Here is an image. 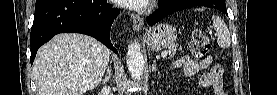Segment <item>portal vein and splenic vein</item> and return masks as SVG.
Listing matches in <instances>:
<instances>
[{"mask_svg": "<svg viewBox=\"0 0 277 95\" xmlns=\"http://www.w3.org/2000/svg\"><path fill=\"white\" fill-rule=\"evenodd\" d=\"M167 54H168L167 51H163V52L161 53V56H162L163 58H165V57L167 56Z\"/></svg>", "mask_w": 277, "mask_h": 95, "instance_id": "portal-vein-and-splenic-vein-1", "label": "portal vein and splenic vein"}]
</instances>
